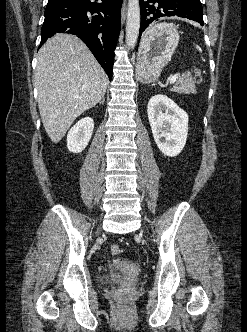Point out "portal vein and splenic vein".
Wrapping results in <instances>:
<instances>
[{
    "label": "portal vein and splenic vein",
    "instance_id": "portal-vein-and-splenic-vein-1",
    "mask_svg": "<svg viewBox=\"0 0 247 332\" xmlns=\"http://www.w3.org/2000/svg\"><path fill=\"white\" fill-rule=\"evenodd\" d=\"M178 77H179V74H178V73L175 74V75H173V76H171V78L169 79L170 84L175 83L176 80L178 79Z\"/></svg>",
    "mask_w": 247,
    "mask_h": 332
}]
</instances>
